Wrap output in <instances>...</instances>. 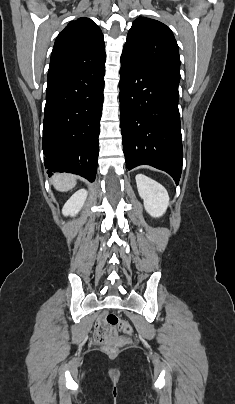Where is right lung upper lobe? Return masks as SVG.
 Returning <instances> with one entry per match:
<instances>
[{
  "instance_id": "1",
  "label": "right lung upper lobe",
  "mask_w": 235,
  "mask_h": 404,
  "mask_svg": "<svg viewBox=\"0 0 235 404\" xmlns=\"http://www.w3.org/2000/svg\"><path fill=\"white\" fill-rule=\"evenodd\" d=\"M105 43L100 28L88 18L71 21L59 33L53 47L49 72L105 61Z\"/></svg>"
}]
</instances>
